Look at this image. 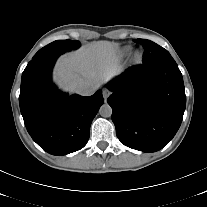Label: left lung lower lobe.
<instances>
[{"mask_svg": "<svg viewBox=\"0 0 207 207\" xmlns=\"http://www.w3.org/2000/svg\"><path fill=\"white\" fill-rule=\"evenodd\" d=\"M107 86L113 92L107 102L122 144L156 152L174 137L183 119L186 95L173 58L129 68Z\"/></svg>", "mask_w": 207, "mask_h": 207, "instance_id": "left-lung-lower-lobe-1", "label": "left lung lower lobe"}]
</instances>
